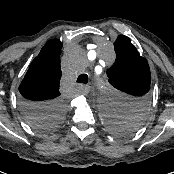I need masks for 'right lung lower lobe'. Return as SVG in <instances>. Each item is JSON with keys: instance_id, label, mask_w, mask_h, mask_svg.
I'll use <instances>...</instances> for the list:
<instances>
[{"instance_id": "right-lung-lower-lobe-1", "label": "right lung lower lobe", "mask_w": 174, "mask_h": 174, "mask_svg": "<svg viewBox=\"0 0 174 174\" xmlns=\"http://www.w3.org/2000/svg\"><path fill=\"white\" fill-rule=\"evenodd\" d=\"M52 104H47V103H32V102H26L23 101L21 102L22 110L25 113V115H28L29 113L36 112V111H41L46 108H48Z\"/></svg>"}]
</instances>
